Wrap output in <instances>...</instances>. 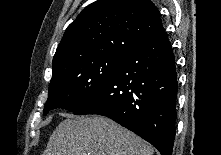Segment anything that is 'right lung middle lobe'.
Instances as JSON below:
<instances>
[{
  "mask_svg": "<svg viewBox=\"0 0 221 155\" xmlns=\"http://www.w3.org/2000/svg\"><path fill=\"white\" fill-rule=\"evenodd\" d=\"M126 54H106L74 61L54 73L44 115L63 107L78 114L114 74Z\"/></svg>",
  "mask_w": 221,
  "mask_h": 155,
  "instance_id": "obj_1",
  "label": "right lung middle lobe"
}]
</instances>
